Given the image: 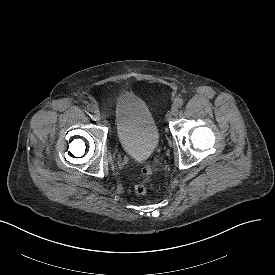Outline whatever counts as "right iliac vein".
Returning <instances> with one entry per match:
<instances>
[{"label": "right iliac vein", "instance_id": "1", "mask_svg": "<svg viewBox=\"0 0 275 275\" xmlns=\"http://www.w3.org/2000/svg\"><path fill=\"white\" fill-rule=\"evenodd\" d=\"M93 113L96 119H100V111L97 107L94 108Z\"/></svg>", "mask_w": 275, "mask_h": 275}]
</instances>
